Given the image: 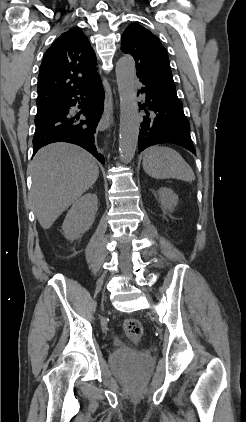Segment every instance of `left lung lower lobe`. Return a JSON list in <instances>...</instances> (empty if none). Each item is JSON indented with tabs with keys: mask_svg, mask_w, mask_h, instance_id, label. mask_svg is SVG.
Returning <instances> with one entry per match:
<instances>
[{
	"mask_svg": "<svg viewBox=\"0 0 246 422\" xmlns=\"http://www.w3.org/2000/svg\"><path fill=\"white\" fill-rule=\"evenodd\" d=\"M140 82L144 86L139 92L146 95V101L141 105L145 115L139 133V152L152 145L173 143L196 154L182 102L173 99L145 80Z\"/></svg>",
	"mask_w": 246,
	"mask_h": 422,
	"instance_id": "left-lung-lower-lobe-1",
	"label": "left lung lower lobe"
}]
</instances>
